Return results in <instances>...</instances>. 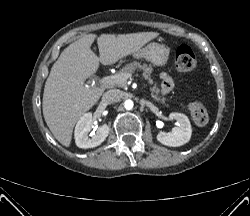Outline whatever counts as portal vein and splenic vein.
Wrapping results in <instances>:
<instances>
[{"mask_svg":"<svg viewBox=\"0 0 250 216\" xmlns=\"http://www.w3.org/2000/svg\"><path fill=\"white\" fill-rule=\"evenodd\" d=\"M131 77V74H121V75H112L99 80L100 84L104 85H115L117 83L126 82L128 78Z\"/></svg>","mask_w":250,"mask_h":216,"instance_id":"1","label":"portal vein and splenic vein"}]
</instances>
